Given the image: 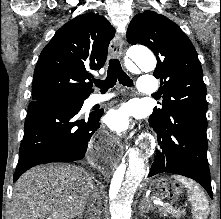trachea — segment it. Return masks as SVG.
I'll use <instances>...</instances> for the list:
<instances>
[{"label":"trachea","instance_id":"trachea-1","mask_svg":"<svg viewBox=\"0 0 221 219\" xmlns=\"http://www.w3.org/2000/svg\"><path fill=\"white\" fill-rule=\"evenodd\" d=\"M117 80L123 86L131 87L133 86V81L130 77L123 71L121 64L118 59H111L109 61V66L107 70V77L105 80H94L96 87L100 88L101 91L105 92L109 88H112Z\"/></svg>","mask_w":221,"mask_h":219}]
</instances>
